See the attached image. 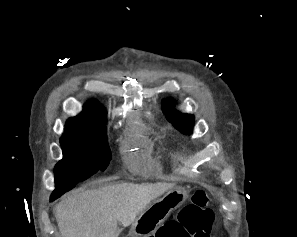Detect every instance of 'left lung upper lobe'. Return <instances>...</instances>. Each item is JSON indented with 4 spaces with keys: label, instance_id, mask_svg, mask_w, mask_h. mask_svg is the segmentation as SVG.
Returning a JSON list of instances; mask_svg holds the SVG:
<instances>
[{
    "label": "left lung upper lobe",
    "instance_id": "left-lung-upper-lobe-1",
    "mask_svg": "<svg viewBox=\"0 0 297 237\" xmlns=\"http://www.w3.org/2000/svg\"><path fill=\"white\" fill-rule=\"evenodd\" d=\"M166 118L173 126L184 134H190L193 129L194 117L189 114H180L175 110L174 101L167 99L162 104Z\"/></svg>",
    "mask_w": 297,
    "mask_h": 237
}]
</instances>
